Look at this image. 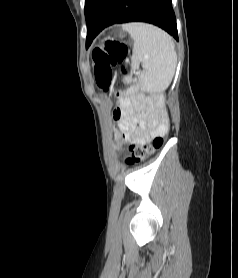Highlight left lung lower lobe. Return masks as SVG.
I'll list each match as a JSON object with an SVG mask.
<instances>
[{
    "label": "left lung lower lobe",
    "mask_w": 238,
    "mask_h": 278,
    "mask_svg": "<svg viewBox=\"0 0 238 278\" xmlns=\"http://www.w3.org/2000/svg\"><path fill=\"white\" fill-rule=\"evenodd\" d=\"M133 21L157 25L178 40L171 0H101L87 26L86 47L107 26Z\"/></svg>",
    "instance_id": "0a47b994"
}]
</instances>
